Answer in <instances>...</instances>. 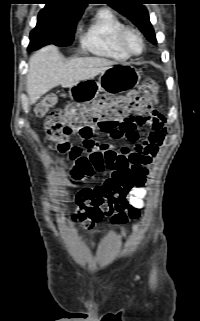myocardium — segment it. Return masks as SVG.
Here are the masks:
<instances>
[{"label": "myocardium", "mask_w": 200, "mask_h": 321, "mask_svg": "<svg viewBox=\"0 0 200 321\" xmlns=\"http://www.w3.org/2000/svg\"><path fill=\"white\" fill-rule=\"evenodd\" d=\"M130 32H132L135 35H137V37L140 40L141 49L138 52L131 51L128 48L127 44H126V36ZM117 41H118V44H119L120 48L129 56H138V55L143 53L144 48H145V40H144V37H143L142 33L137 28H135L133 26H130V25H124L120 29V31L118 33V36H117Z\"/></svg>", "instance_id": "obj_1"}]
</instances>
